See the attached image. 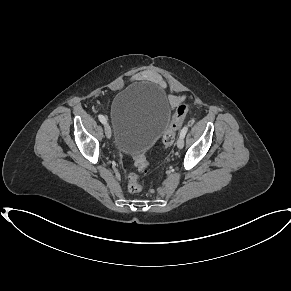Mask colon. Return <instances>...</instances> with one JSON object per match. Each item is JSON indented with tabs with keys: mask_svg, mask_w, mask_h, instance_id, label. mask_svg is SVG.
<instances>
[{
	"mask_svg": "<svg viewBox=\"0 0 291 291\" xmlns=\"http://www.w3.org/2000/svg\"><path fill=\"white\" fill-rule=\"evenodd\" d=\"M187 114H188L187 105L182 104L177 108L169 127L167 128V130L165 131L162 137L163 145L166 148L170 147L174 143L176 133L179 130V128L182 126ZM133 158H134L136 167L140 171L144 172L149 168V162L143 154H135ZM141 189H142V186L139 182L138 175L135 173H130L128 176V190L132 193H137V192H140Z\"/></svg>",
	"mask_w": 291,
	"mask_h": 291,
	"instance_id": "colon-1",
	"label": "colon"
}]
</instances>
